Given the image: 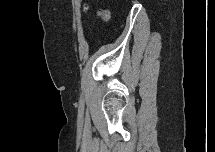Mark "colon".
I'll return each instance as SVG.
<instances>
[{
  "instance_id": "1",
  "label": "colon",
  "mask_w": 215,
  "mask_h": 152,
  "mask_svg": "<svg viewBox=\"0 0 215 152\" xmlns=\"http://www.w3.org/2000/svg\"><path fill=\"white\" fill-rule=\"evenodd\" d=\"M98 16L101 20L106 21L110 15H109V12L107 10L102 9V10H99Z\"/></svg>"
}]
</instances>
